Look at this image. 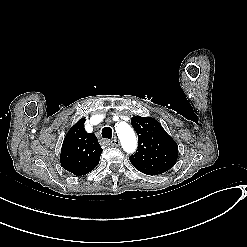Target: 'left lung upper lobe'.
I'll use <instances>...</instances> for the list:
<instances>
[{"instance_id":"left-lung-upper-lobe-1","label":"left lung upper lobe","mask_w":247,"mask_h":247,"mask_svg":"<svg viewBox=\"0 0 247 247\" xmlns=\"http://www.w3.org/2000/svg\"><path fill=\"white\" fill-rule=\"evenodd\" d=\"M131 124L138 134V149L129 157L142 173L158 175L171 169L178 157V146L161 124L151 117L135 116Z\"/></svg>"}]
</instances>
